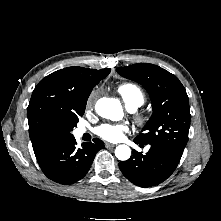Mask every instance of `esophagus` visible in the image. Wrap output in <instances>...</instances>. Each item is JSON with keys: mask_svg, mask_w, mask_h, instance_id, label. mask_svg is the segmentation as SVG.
<instances>
[{"mask_svg": "<svg viewBox=\"0 0 221 221\" xmlns=\"http://www.w3.org/2000/svg\"><path fill=\"white\" fill-rule=\"evenodd\" d=\"M116 145L115 144H112V143H109V142H105V147L106 148H112V147H115Z\"/></svg>", "mask_w": 221, "mask_h": 221, "instance_id": "obj_1", "label": "esophagus"}]
</instances>
